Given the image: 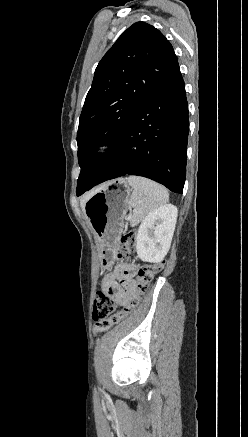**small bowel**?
<instances>
[{
  "mask_svg": "<svg viewBox=\"0 0 248 437\" xmlns=\"http://www.w3.org/2000/svg\"><path fill=\"white\" fill-rule=\"evenodd\" d=\"M137 266L132 263L119 264L102 282L103 291L113 297L120 305H127L136 292L134 276Z\"/></svg>",
  "mask_w": 248,
  "mask_h": 437,
  "instance_id": "obj_1",
  "label": "small bowel"
}]
</instances>
